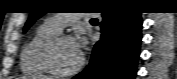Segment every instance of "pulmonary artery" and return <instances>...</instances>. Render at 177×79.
Wrapping results in <instances>:
<instances>
[{
	"label": "pulmonary artery",
	"instance_id": "pulmonary-artery-1",
	"mask_svg": "<svg viewBox=\"0 0 177 79\" xmlns=\"http://www.w3.org/2000/svg\"><path fill=\"white\" fill-rule=\"evenodd\" d=\"M88 14L77 13V14H56L53 17L49 18L46 23L51 26L53 29L61 32L63 28L67 25L77 22L79 19L87 16ZM91 16V15H88Z\"/></svg>",
	"mask_w": 177,
	"mask_h": 79
}]
</instances>
